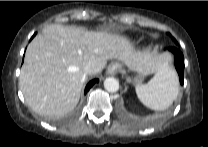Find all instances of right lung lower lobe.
Wrapping results in <instances>:
<instances>
[{
	"mask_svg": "<svg viewBox=\"0 0 208 147\" xmlns=\"http://www.w3.org/2000/svg\"><path fill=\"white\" fill-rule=\"evenodd\" d=\"M34 37V36H33ZM96 82H98V80H92V81H90L88 84H87V86H86V88H85V93L96 83Z\"/></svg>",
	"mask_w": 208,
	"mask_h": 147,
	"instance_id": "98d812e1",
	"label": "right lung lower lobe"
}]
</instances>
